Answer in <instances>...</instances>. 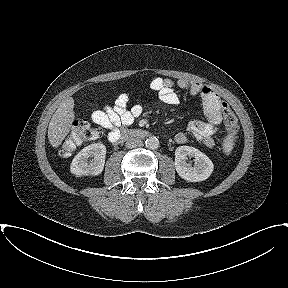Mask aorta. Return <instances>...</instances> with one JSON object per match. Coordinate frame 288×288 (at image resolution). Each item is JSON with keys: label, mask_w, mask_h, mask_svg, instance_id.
Masks as SVG:
<instances>
[{"label": "aorta", "mask_w": 288, "mask_h": 288, "mask_svg": "<svg viewBox=\"0 0 288 288\" xmlns=\"http://www.w3.org/2000/svg\"><path fill=\"white\" fill-rule=\"evenodd\" d=\"M145 145L149 149H157L159 147V140L155 136L148 137L145 141Z\"/></svg>", "instance_id": "obj_1"}]
</instances>
